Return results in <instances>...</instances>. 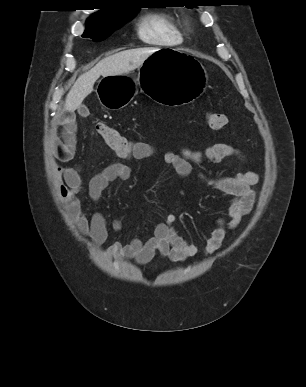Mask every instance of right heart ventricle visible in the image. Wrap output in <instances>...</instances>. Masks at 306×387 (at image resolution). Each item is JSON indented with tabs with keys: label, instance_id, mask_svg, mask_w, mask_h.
I'll use <instances>...</instances> for the list:
<instances>
[{
	"label": "right heart ventricle",
	"instance_id": "right-heart-ventricle-1",
	"mask_svg": "<svg viewBox=\"0 0 306 387\" xmlns=\"http://www.w3.org/2000/svg\"><path fill=\"white\" fill-rule=\"evenodd\" d=\"M137 34L143 42L155 46H175L184 40L177 18L164 11L143 15L137 23Z\"/></svg>",
	"mask_w": 306,
	"mask_h": 387
}]
</instances>
